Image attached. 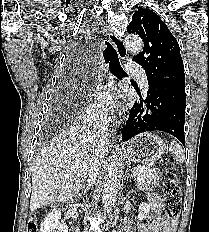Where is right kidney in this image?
<instances>
[{
    "label": "right kidney",
    "mask_w": 209,
    "mask_h": 232,
    "mask_svg": "<svg viewBox=\"0 0 209 232\" xmlns=\"http://www.w3.org/2000/svg\"><path fill=\"white\" fill-rule=\"evenodd\" d=\"M61 213L59 210L54 209L49 213L41 223V232H68L66 224L60 222Z\"/></svg>",
    "instance_id": "1"
}]
</instances>
